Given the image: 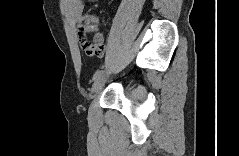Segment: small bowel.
<instances>
[{"label":"small bowel","mask_w":239,"mask_h":156,"mask_svg":"<svg viewBox=\"0 0 239 156\" xmlns=\"http://www.w3.org/2000/svg\"><path fill=\"white\" fill-rule=\"evenodd\" d=\"M69 11L72 15V17L75 19L76 22L81 23L82 20L84 19V15H83V4L80 0H73L69 3ZM85 39L84 35H81L78 33V40L79 43L82 47V41ZM97 49L92 52V53H88L86 52L88 55L90 56H94V57H101L107 47V45L105 43H103L101 40L99 42H97L96 44Z\"/></svg>","instance_id":"obj_1"}]
</instances>
